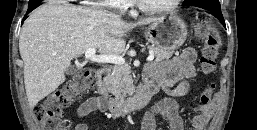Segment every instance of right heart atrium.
Wrapping results in <instances>:
<instances>
[{
	"label": "right heart atrium",
	"mask_w": 257,
	"mask_h": 130,
	"mask_svg": "<svg viewBox=\"0 0 257 130\" xmlns=\"http://www.w3.org/2000/svg\"><path fill=\"white\" fill-rule=\"evenodd\" d=\"M132 3V0H102L100 2L101 5L110 7V8H115L119 10H124L127 7L130 6Z\"/></svg>",
	"instance_id": "1"
}]
</instances>
